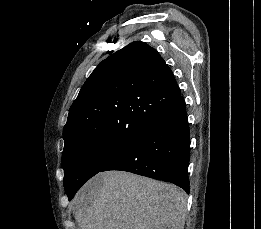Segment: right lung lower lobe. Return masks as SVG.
<instances>
[{
	"label": "right lung lower lobe",
	"mask_w": 261,
	"mask_h": 229,
	"mask_svg": "<svg viewBox=\"0 0 261 229\" xmlns=\"http://www.w3.org/2000/svg\"><path fill=\"white\" fill-rule=\"evenodd\" d=\"M190 131L183 97L101 171L122 170L175 184L189 193Z\"/></svg>",
	"instance_id": "obj_1"
}]
</instances>
